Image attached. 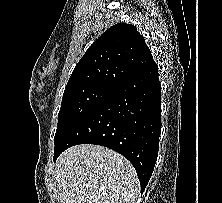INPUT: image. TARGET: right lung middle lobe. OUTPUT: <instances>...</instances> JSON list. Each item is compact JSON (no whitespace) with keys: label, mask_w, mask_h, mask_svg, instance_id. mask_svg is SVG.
<instances>
[{"label":"right lung middle lobe","mask_w":222,"mask_h":203,"mask_svg":"<svg viewBox=\"0 0 222 203\" xmlns=\"http://www.w3.org/2000/svg\"><path fill=\"white\" fill-rule=\"evenodd\" d=\"M113 90L100 87H85L64 91L58 114L54 143L79 119L110 96Z\"/></svg>","instance_id":"1"}]
</instances>
